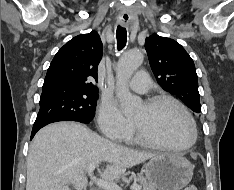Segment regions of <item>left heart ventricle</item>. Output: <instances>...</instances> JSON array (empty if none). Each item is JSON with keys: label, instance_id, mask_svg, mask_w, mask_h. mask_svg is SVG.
Listing matches in <instances>:
<instances>
[{"label": "left heart ventricle", "instance_id": "b2bd125f", "mask_svg": "<svg viewBox=\"0 0 234 190\" xmlns=\"http://www.w3.org/2000/svg\"><path fill=\"white\" fill-rule=\"evenodd\" d=\"M156 141L183 145L191 139V127L183 112L173 103L161 102L153 108L142 104L133 116Z\"/></svg>", "mask_w": 234, "mask_h": 190}]
</instances>
